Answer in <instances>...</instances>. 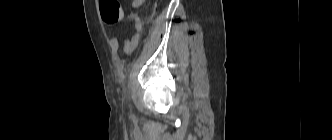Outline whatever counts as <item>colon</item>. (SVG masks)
Returning a JSON list of instances; mask_svg holds the SVG:
<instances>
[{
  "label": "colon",
  "instance_id": "colon-1",
  "mask_svg": "<svg viewBox=\"0 0 332 140\" xmlns=\"http://www.w3.org/2000/svg\"><path fill=\"white\" fill-rule=\"evenodd\" d=\"M100 11L103 21L113 25L123 17V11L118 0H100Z\"/></svg>",
  "mask_w": 332,
  "mask_h": 140
}]
</instances>
